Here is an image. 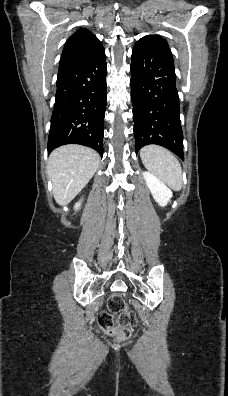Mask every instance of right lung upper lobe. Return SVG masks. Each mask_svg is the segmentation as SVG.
Here are the masks:
<instances>
[{
  "instance_id": "right-lung-upper-lobe-1",
  "label": "right lung upper lobe",
  "mask_w": 228,
  "mask_h": 396,
  "mask_svg": "<svg viewBox=\"0 0 228 396\" xmlns=\"http://www.w3.org/2000/svg\"><path fill=\"white\" fill-rule=\"evenodd\" d=\"M99 47H102V44L95 35L88 30L79 29L66 41L60 64L83 57Z\"/></svg>"
}]
</instances>
